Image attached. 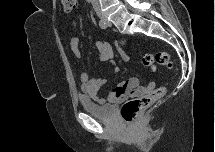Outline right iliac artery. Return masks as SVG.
I'll return each mask as SVG.
<instances>
[{"mask_svg":"<svg viewBox=\"0 0 215 152\" xmlns=\"http://www.w3.org/2000/svg\"><path fill=\"white\" fill-rule=\"evenodd\" d=\"M99 26L102 29H106L107 28V24L106 22H104L103 20H99Z\"/></svg>","mask_w":215,"mask_h":152,"instance_id":"1","label":"right iliac artery"}]
</instances>
